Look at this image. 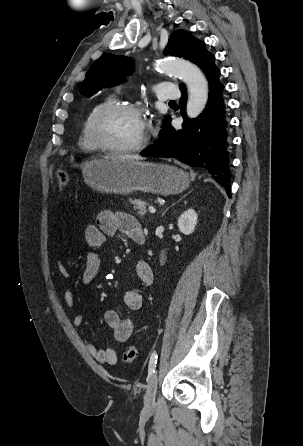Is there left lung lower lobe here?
Here are the masks:
<instances>
[{"instance_id": "1", "label": "left lung lower lobe", "mask_w": 303, "mask_h": 446, "mask_svg": "<svg viewBox=\"0 0 303 446\" xmlns=\"http://www.w3.org/2000/svg\"><path fill=\"white\" fill-rule=\"evenodd\" d=\"M211 56L202 67L209 81V100L203 114L196 119L186 118V88H180V109L184 117L181 130H175L169 119L159 139L141 155L145 157H173L192 167L205 168L231 197L229 156L227 150V120L222 98L224 85L219 81L220 70Z\"/></svg>"}]
</instances>
